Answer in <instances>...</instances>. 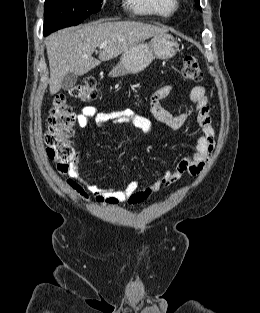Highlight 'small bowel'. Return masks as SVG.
<instances>
[{
	"instance_id": "small-bowel-1",
	"label": "small bowel",
	"mask_w": 260,
	"mask_h": 313,
	"mask_svg": "<svg viewBox=\"0 0 260 313\" xmlns=\"http://www.w3.org/2000/svg\"><path fill=\"white\" fill-rule=\"evenodd\" d=\"M173 90L172 84L163 83L159 85L151 96L150 112L157 121L173 130L183 127L194 111L197 113L201 134L197 136L194 149L189 156L182 158L172 170L164 172L144 188H139L136 181L129 182L124 188L102 187L89 183L79 177L78 162L75 161L65 179L66 185L86 203L91 202L90 195H92L94 200L102 205L122 203L136 205L177 182L185 174L199 175L207 166L215 146V131L208 107L206 90L203 86L192 87L190 91L191 105L180 114H173L161 105V101L169 96ZM92 118L98 126L106 123L130 125L145 134L151 129L150 120L131 109L100 112L95 107L86 106L81 109L76 121L80 128H85Z\"/></svg>"
}]
</instances>
